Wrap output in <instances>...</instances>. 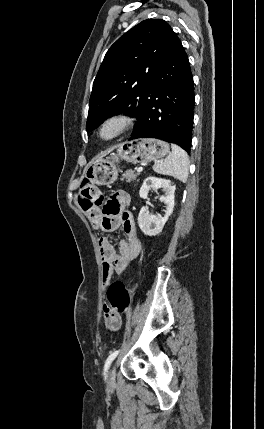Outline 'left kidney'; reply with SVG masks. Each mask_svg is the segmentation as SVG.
Masks as SVG:
<instances>
[{
  "mask_svg": "<svg viewBox=\"0 0 264 429\" xmlns=\"http://www.w3.org/2000/svg\"><path fill=\"white\" fill-rule=\"evenodd\" d=\"M162 188L166 193L160 197V201L166 204L164 216L150 214L145 207H142L138 215V225L141 231L148 236L159 234L167 222L174 209L175 186L169 180L150 176L146 178L140 188L139 195L146 199L150 189L157 190Z\"/></svg>",
  "mask_w": 264,
  "mask_h": 429,
  "instance_id": "left-kidney-1",
  "label": "left kidney"
}]
</instances>
